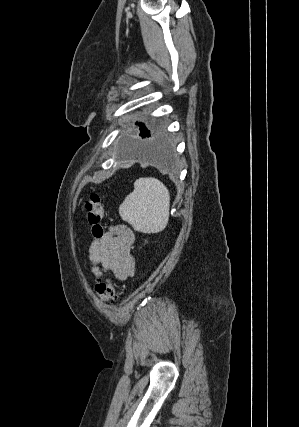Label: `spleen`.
<instances>
[{
    "instance_id": "spleen-1",
    "label": "spleen",
    "mask_w": 299,
    "mask_h": 427,
    "mask_svg": "<svg viewBox=\"0 0 299 427\" xmlns=\"http://www.w3.org/2000/svg\"><path fill=\"white\" fill-rule=\"evenodd\" d=\"M170 194L167 187L155 178H139L134 191L119 207L121 218L136 231L153 234L168 224Z\"/></svg>"
}]
</instances>
